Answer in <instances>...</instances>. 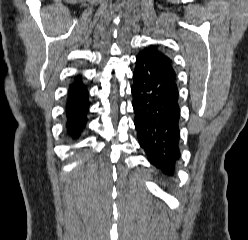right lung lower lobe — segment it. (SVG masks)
Returning a JSON list of instances; mask_svg holds the SVG:
<instances>
[{
    "label": "right lung lower lobe",
    "instance_id": "98d812e1",
    "mask_svg": "<svg viewBox=\"0 0 248 240\" xmlns=\"http://www.w3.org/2000/svg\"><path fill=\"white\" fill-rule=\"evenodd\" d=\"M81 79L80 75L76 76L69 86L65 106L66 133L74 139L78 138L85 128L90 105L87 87Z\"/></svg>",
    "mask_w": 248,
    "mask_h": 240
}]
</instances>
